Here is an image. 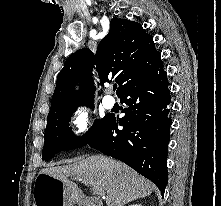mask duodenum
Segmentation results:
<instances>
[{
    "label": "duodenum",
    "mask_w": 221,
    "mask_h": 206,
    "mask_svg": "<svg viewBox=\"0 0 221 206\" xmlns=\"http://www.w3.org/2000/svg\"><path fill=\"white\" fill-rule=\"evenodd\" d=\"M87 206H103L102 202L94 196H88L86 200Z\"/></svg>",
    "instance_id": "410a0bca"
}]
</instances>
